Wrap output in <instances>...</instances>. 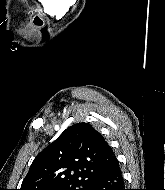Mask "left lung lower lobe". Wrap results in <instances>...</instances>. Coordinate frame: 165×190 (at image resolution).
I'll list each match as a JSON object with an SVG mask.
<instances>
[{"instance_id":"0a47b994","label":"left lung lower lobe","mask_w":165,"mask_h":190,"mask_svg":"<svg viewBox=\"0 0 165 190\" xmlns=\"http://www.w3.org/2000/svg\"><path fill=\"white\" fill-rule=\"evenodd\" d=\"M90 190H125L117 159L98 175Z\"/></svg>"}]
</instances>
